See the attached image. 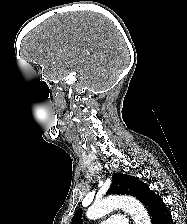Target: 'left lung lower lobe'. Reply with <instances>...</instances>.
<instances>
[{
  "mask_svg": "<svg viewBox=\"0 0 187 224\" xmlns=\"http://www.w3.org/2000/svg\"><path fill=\"white\" fill-rule=\"evenodd\" d=\"M152 224H172L171 213L167 210L162 198L152 193L144 203Z\"/></svg>",
  "mask_w": 187,
  "mask_h": 224,
  "instance_id": "1",
  "label": "left lung lower lobe"
}]
</instances>
